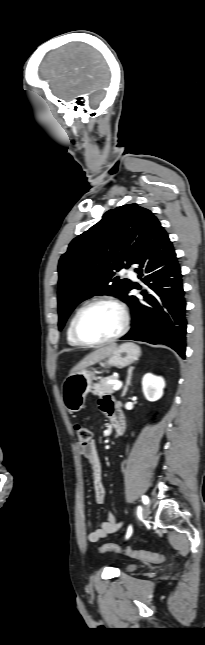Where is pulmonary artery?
Here are the masks:
<instances>
[{
	"label": "pulmonary artery",
	"mask_w": 205,
	"mask_h": 645,
	"mask_svg": "<svg viewBox=\"0 0 205 645\" xmlns=\"http://www.w3.org/2000/svg\"><path fill=\"white\" fill-rule=\"evenodd\" d=\"M121 272L123 274H127L131 278H136V274L131 268H123Z\"/></svg>",
	"instance_id": "pulmonary-artery-1"
}]
</instances>
